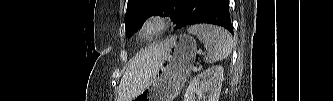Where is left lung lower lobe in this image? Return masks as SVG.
<instances>
[{"label": "left lung lower lobe", "mask_w": 333, "mask_h": 101, "mask_svg": "<svg viewBox=\"0 0 333 101\" xmlns=\"http://www.w3.org/2000/svg\"><path fill=\"white\" fill-rule=\"evenodd\" d=\"M184 10L176 28L196 23L222 26L233 34L229 0H181Z\"/></svg>", "instance_id": "0a47b994"}]
</instances>
